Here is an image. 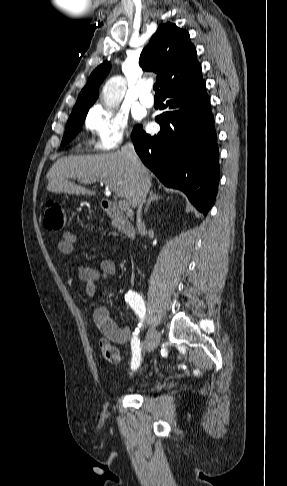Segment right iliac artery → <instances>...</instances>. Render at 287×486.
I'll use <instances>...</instances> for the list:
<instances>
[{
    "instance_id": "obj_1",
    "label": "right iliac artery",
    "mask_w": 287,
    "mask_h": 486,
    "mask_svg": "<svg viewBox=\"0 0 287 486\" xmlns=\"http://www.w3.org/2000/svg\"><path fill=\"white\" fill-rule=\"evenodd\" d=\"M125 301L130 305V307L134 310V312L138 315L140 318V323L139 327H141L142 321L145 316V304L142 299V297L134 291H129L125 295ZM138 333L139 329L137 328L133 332V339L131 343V349H132V361H131V367L132 369H136L141 361V348H140V342L138 339Z\"/></svg>"
}]
</instances>
